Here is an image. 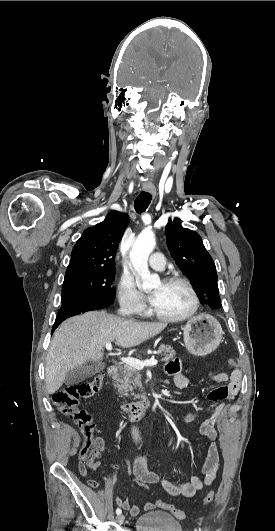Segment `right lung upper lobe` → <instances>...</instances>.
Here are the masks:
<instances>
[{
    "mask_svg": "<svg viewBox=\"0 0 275 531\" xmlns=\"http://www.w3.org/2000/svg\"><path fill=\"white\" fill-rule=\"evenodd\" d=\"M129 217L111 211L105 220L86 229L71 253L66 273L85 269H115V255Z\"/></svg>",
    "mask_w": 275,
    "mask_h": 531,
    "instance_id": "right-lung-upper-lobe-1",
    "label": "right lung upper lobe"
}]
</instances>
